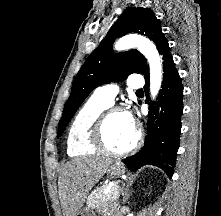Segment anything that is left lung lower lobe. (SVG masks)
Listing matches in <instances>:
<instances>
[{
  "mask_svg": "<svg viewBox=\"0 0 221 216\" xmlns=\"http://www.w3.org/2000/svg\"><path fill=\"white\" fill-rule=\"evenodd\" d=\"M159 53L163 56L164 66L162 89L155 106L150 104L152 107L145 144L140 151L123 162L132 170L140 164L155 165L162 168L171 178L179 148L183 86L175 68L168 41L160 47ZM144 77L146 79L144 89L148 95L149 70Z\"/></svg>",
  "mask_w": 221,
  "mask_h": 216,
  "instance_id": "obj_1",
  "label": "left lung lower lobe"
}]
</instances>
